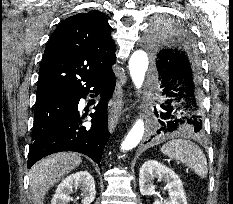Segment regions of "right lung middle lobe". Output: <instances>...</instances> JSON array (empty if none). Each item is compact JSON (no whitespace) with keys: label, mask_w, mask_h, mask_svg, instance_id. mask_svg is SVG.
Listing matches in <instances>:
<instances>
[{"label":"right lung middle lobe","mask_w":233,"mask_h":204,"mask_svg":"<svg viewBox=\"0 0 233 204\" xmlns=\"http://www.w3.org/2000/svg\"><path fill=\"white\" fill-rule=\"evenodd\" d=\"M72 96L57 95L36 102L32 141L49 133L70 114Z\"/></svg>","instance_id":"1"}]
</instances>
